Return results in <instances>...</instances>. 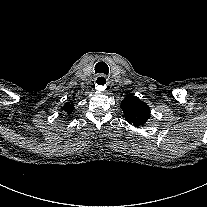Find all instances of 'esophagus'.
<instances>
[{
    "label": "esophagus",
    "instance_id": "1",
    "mask_svg": "<svg viewBox=\"0 0 207 207\" xmlns=\"http://www.w3.org/2000/svg\"><path fill=\"white\" fill-rule=\"evenodd\" d=\"M95 85L98 89L103 90L107 87L108 82L105 78L100 77L96 80Z\"/></svg>",
    "mask_w": 207,
    "mask_h": 207
}]
</instances>
